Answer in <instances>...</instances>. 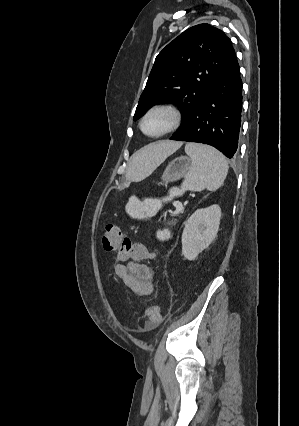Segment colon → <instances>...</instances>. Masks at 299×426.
I'll return each instance as SVG.
<instances>
[{
  "instance_id": "obj_1",
  "label": "colon",
  "mask_w": 299,
  "mask_h": 426,
  "mask_svg": "<svg viewBox=\"0 0 299 426\" xmlns=\"http://www.w3.org/2000/svg\"><path fill=\"white\" fill-rule=\"evenodd\" d=\"M101 245L106 252L117 253L121 261L127 260H146L153 258L151 253L142 243L132 242L125 236L117 225L107 224L103 228L101 236ZM145 323L143 329L152 330L158 326L161 315L157 307L150 306L145 311Z\"/></svg>"
}]
</instances>
